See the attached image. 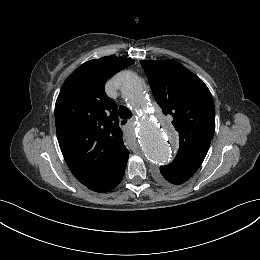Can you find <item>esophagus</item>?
<instances>
[{
	"label": "esophagus",
	"mask_w": 260,
	"mask_h": 260,
	"mask_svg": "<svg viewBox=\"0 0 260 260\" xmlns=\"http://www.w3.org/2000/svg\"><path fill=\"white\" fill-rule=\"evenodd\" d=\"M126 124H127V120H121V121H120V125H121V126H125Z\"/></svg>",
	"instance_id": "34e87169"
}]
</instances>
